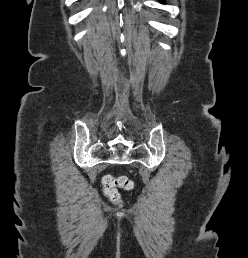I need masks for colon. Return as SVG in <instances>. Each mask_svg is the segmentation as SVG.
I'll list each match as a JSON object with an SVG mask.
<instances>
[{
    "mask_svg": "<svg viewBox=\"0 0 248 258\" xmlns=\"http://www.w3.org/2000/svg\"><path fill=\"white\" fill-rule=\"evenodd\" d=\"M118 187H123L126 190H130L133 184L126 176L112 177L106 176L103 179V190L105 194L114 202L120 201V194L117 190Z\"/></svg>",
    "mask_w": 248,
    "mask_h": 258,
    "instance_id": "obj_1",
    "label": "colon"
}]
</instances>
